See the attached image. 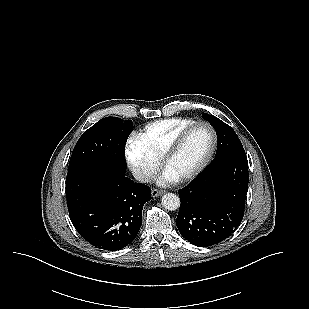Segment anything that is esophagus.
Returning a JSON list of instances; mask_svg holds the SVG:
<instances>
[{
  "instance_id": "esophagus-1",
  "label": "esophagus",
  "mask_w": 309,
  "mask_h": 309,
  "mask_svg": "<svg viewBox=\"0 0 309 309\" xmlns=\"http://www.w3.org/2000/svg\"><path fill=\"white\" fill-rule=\"evenodd\" d=\"M151 194H152V197H158V196L163 194V191L162 190H158V189H152Z\"/></svg>"
}]
</instances>
